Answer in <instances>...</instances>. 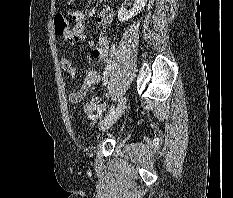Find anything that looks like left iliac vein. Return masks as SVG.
Returning <instances> with one entry per match:
<instances>
[{
  "label": "left iliac vein",
  "instance_id": "obj_1",
  "mask_svg": "<svg viewBox=\"0 0 233 198\" xmlns=\"http://www.w3.org/2000/svg\"><path fill=\"white\" fill-rule=\"evenodd\" d=\"M126 107V97H122L118 104L117 107L114 109L113 113L103 121H101L99 125V129L102 131H105L109 127H111L117 120L121 117L124 109Z\"/></svg>",
  "mask_w": 233,
  "mask_h": 198
}]
</instances>
